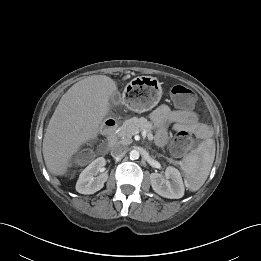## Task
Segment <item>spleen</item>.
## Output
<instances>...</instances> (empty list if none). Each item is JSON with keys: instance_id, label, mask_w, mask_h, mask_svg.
<instances>
[{"instance_id": "obj_1", "label": "spleen", "mask_w": 261, "mask_h": 261, "mask_svg": "<svg viewBox=\"0 0 261 261\" xmlns=\"http://www.w3.org/2000/svg\"><path fill=\"white\" fill-rule=\"evenodd\" d=\"M215 157V141L206 139L183 159L185 185L190 191L199 190L205 183Z\"/></svg>"}]
</instances>
